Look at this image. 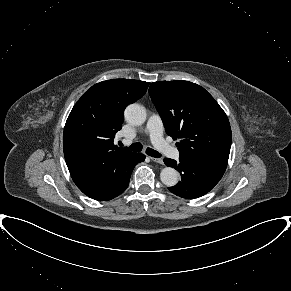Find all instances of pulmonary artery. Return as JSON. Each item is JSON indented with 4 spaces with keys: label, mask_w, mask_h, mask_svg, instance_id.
<instances>
[{
    "label": "pulmonary artery",
    "mask_w": 291,
    "mask_h": 291,
    "mask_svg": "<svg viewBox=\"0 0 291 291\" xmlns=\"http://www.w3.org/2000/svg\"><path fill=\"white\" fill-rule=\"evenodd\" d=\"M146 132L156 149L169 158L177 159L179 151L174 146L170 145L163 137V124L161 117L158 114H152L146 124Z\"/></svg>",
    "instance_id": "pulmonary-artery-1"
}]
</instances>
